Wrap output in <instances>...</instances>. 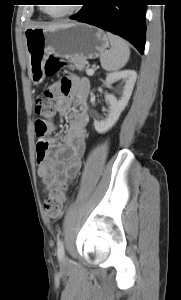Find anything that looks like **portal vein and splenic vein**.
Here are the masks:
<instances>
[{
  "label": "portal vein and splenic vein",
  "mask_w": 181,
  "mask_h": 300,
  "mask_svg": "<svg viewBox=\"0 0 181 300\" xmlns=\"http://www.w3.org/2000/svg\"><path fill=\"white\" fill-rule=\"evenodd\" d=\"M86 73H87L88 76H93L94 75V70L93 69H88L86 71Z\"/></svg>",
  "instance_id": "1"
}]
</instances>
